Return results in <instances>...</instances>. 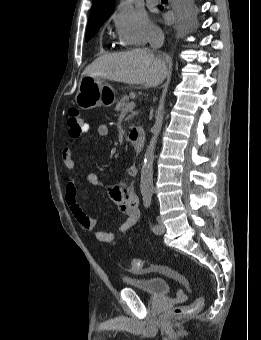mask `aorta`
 Returning a JSON list of instances; mask_svg holds the SVG:
<instances>
[{
  "label": "aorta",
  "instance_id": "762f6f07",
  "mask_svg": "<svg viewBox=\"0 0 261 340\" xmlns=\"http://www.w3.org/2000/svg\"><path fill=\"white\" fill-rule=\"evenodd\" d=\"M133 0H123L122 6L129 8L132 5ZM164 100L161 99L156 111L155 123L152 127V137L149 145L147 146L144 161L141 169L140 178V190L143 196L152 195L153 193V163H154V152L157 143L158 136L161 132L163 119H164Z\"/></svg>",
  "mask_w": 261,
  "mask_h": 340
}]
</instances>
